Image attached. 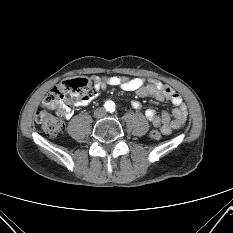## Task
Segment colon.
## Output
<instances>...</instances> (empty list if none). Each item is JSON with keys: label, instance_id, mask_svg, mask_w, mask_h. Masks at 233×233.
<instances>
[{"label": "colon", "instance_id": "5ec220e1", "mask_svg": "<svg viewBox=\"0 0 233 233\" xmlns=\"http://www.w3.org/2000/svg\"><path fill=\"white\" fill-rule=\"evenodd\" d=\"M109 77H104L107 80ZM122 81L126 77H120ZM92 94V85L89 79L79 77L67 80L55 86L52 91L44 98L43 106L36 112V123L42 133L54 137L63 130V123L49 110L63 105H74L76 102L88 99ZM153 140H159L161 134L157 130H152L149 134Z\"/></svg>", "mask_w": 233, "mask_h": 233}]
</instances>
